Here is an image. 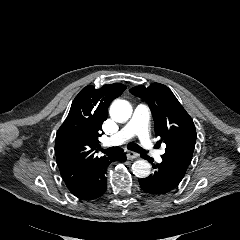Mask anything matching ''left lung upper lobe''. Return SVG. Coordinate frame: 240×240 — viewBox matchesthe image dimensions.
Listing matches in <instances>:
<instances>
[{
	"label": "left lung upper lobe",
	"instance_id": "obj_1",
	"mask_svg": "<svg viewBox=\"0 0 240 240\" xmlns=\"http://www.w3.org/2000/svg\"><path fill=\"white\" fill-rule=\"evenodd\" d=\"M130 92L146 101L151 108L156 134L166 144V152L161 156L163 162L185 174L197 138L192 118L163 84L153 83L147 88L140 85Z\"/></svg>",
	"mask_w": 240,
	"mask_h": 240
}]
</instances>
